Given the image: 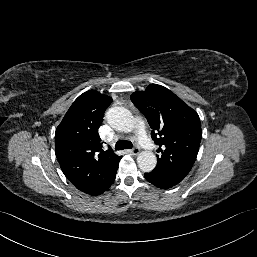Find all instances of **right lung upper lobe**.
Wrapping results in <instances>:
<instances>
[{"label":"right lung upper lobe","instance_id":"cb5924a9","mask_svg":"<svg viewBox=\"0 0 257 257\" xmlns=\"http://www.w3.org/2000/svg\"><path fill=\"white\" fill-rule=\"evenodd\" d=\"M112 98L95 90L81 94L55 132V154L68 180L80 191L100 195L112 184L121 156L104 151L98 129Z\"/></svg>","mask_w":257,"mask_h":257}]
</instances>
